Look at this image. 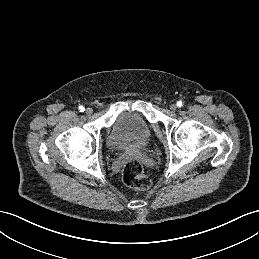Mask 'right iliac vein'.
<instances>
[{"label": "right iliac vein", "mask_w": 259, "mask_h": 259, "mask_svg": "<svg viewBox=\"0 0 259 259\" xmlns=\"http://www.w3.org/2000/svg\"><path fill=\"white\" fill-rule=\"evenodd\" d=\"M85 112H86L87 115H91L93 113V109L87 108Z\"/></svg>", "instance_id": "right-iliac-vein-1"}]
</instances>
